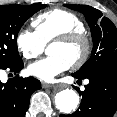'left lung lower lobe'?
I'll use <instances>...</instances> for the list:
<instances>
[{
	"instance_id": "obj_1",
	"label": "left lung lower lobe",
	"mask_w": 117,
	"mask_h": 117,
	"mask_svg": "<svg viewBox=\"0 0 117 117\" xmlns=\"http://www.w3.org/2000/svg\"><path fill=\"white\" fill-rule=\"evenodd\" d=\"M89 84L79 93L82 100L79 109L70 115L61 114L60 117H112L117 110V62L109 63L85 78Z\"/></svg>"
}]
</instances>
